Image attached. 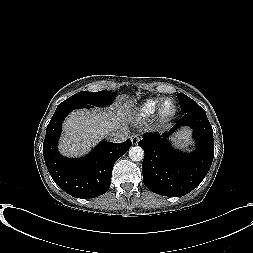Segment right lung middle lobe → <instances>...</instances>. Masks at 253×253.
I'll return each mask as SVG.
<instances>
[{"label": "right lung middle lobe", "mask_w": 253, "mask_h": 253, "mask_svg": "<svg viewBox=\"0 0 253 253\" xmlns=\"http://www.w3.org/2000/svg\"><path fill=\"white\" fill-rule=\"evenodd\" d=\"M114 92L111 91H99V92H86L81 91L73 96L69 97L67 100L63 101L62 103L68 105H76V104H89V105H97V106H104L112 102L115 97Z\"/></svg>", "instance_id": "right-lung-middle-lobe-1"}]
</instances>
